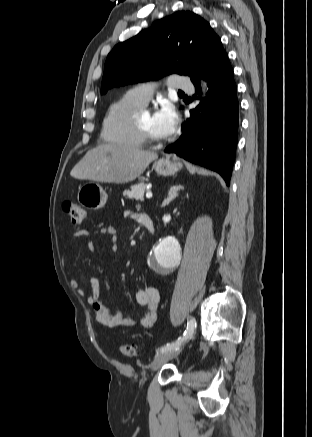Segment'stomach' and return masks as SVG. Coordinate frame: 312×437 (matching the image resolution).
I'll return each instance as SVG.
<instances>
[{
	"instance_id": "0dacf381",
	"label": "stomach",
	"mask_w": 312,
	"mask_h": 437,
	"mask_svg": "<svg viewBox=\"0 0 312 437\" xmlns=\"http://www.w3.org/2000/svg\"><path fill=\"white\" fill-rule=\"evenodd\" d=\"M153 168L158 175L166 177L176 174L182 168V164L176 157L171 158L167 155L155 161ZM77 199L85 208L99 210L105 206L108 195L100 184L91 181L79 188Z\"/></svg>"
}]
</instances>
